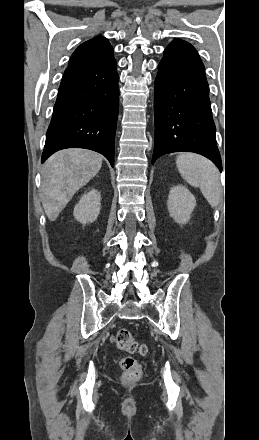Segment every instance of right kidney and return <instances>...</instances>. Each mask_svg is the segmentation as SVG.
Segmentation results:
<instances>
[{
    "instance_id": "1",
    "label": "right kidney",
    "mask_w": 259,
    "mask_h": 440,
    "mask_svg": "<svg viewBox=\"0 0 259 440\" xmlns=\"http://www.w3.org/2000/svg\"><path fill=\"white\" fill-rule=\"evenodd\" d=\"M101 194L98 190L92 189L84 194L74 207V217L82 224L94 222L101 208Z\"/></svg>"
}]
</instances>
